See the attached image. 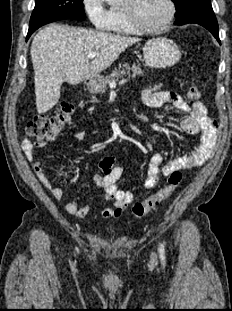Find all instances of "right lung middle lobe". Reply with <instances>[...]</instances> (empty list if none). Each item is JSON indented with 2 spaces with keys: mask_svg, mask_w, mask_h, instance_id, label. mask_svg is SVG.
<instances>
[{
  "mask_svg": "<svg viewBox=\"0 0 232 311\" xmlns=\"http://www.w3.org/2000/svg\"><path fill=\"white\" fill-rule=\"evenodd\" d=\"M57 18L84 20L83 0H36L30 26Z\"/></svg>",
  "mask_w": 232,
  "mask_h": 311,
  "instance_id": "dd1d6c3e",
  "label": "right lung middle lobe"
}]
</instances>
